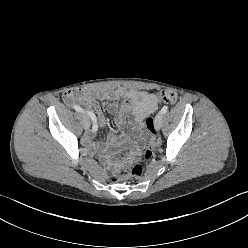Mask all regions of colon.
<instances>
[{
	"mask_svg": "<svg viewBox=\"0 0 248 248\" xmlns=\"http://www.w3.org/2000/svg\"><path fill=\"white\" fill-rule=\"evenodd\" d=\"M157 99L165 103L174 104L177 101V94L173 90L166 89L157 93ZM145 125L148 132L150 133V139L148 146L144 151V157L149 159L153 154L154 148L159 144V137L157 135V129L155 127V122L153 118H147ZM142 172H143L142 166L140 164H136L131 168V170L126 176L131 178H138L142 175ZM121 178L122 176H120L115 172L110 173V179L113 181H117Z\"/></svg>",
	"mask_w": 248,
	"mask_h": 248,
	"instance_id": "obj_1",
	"label": "colon"
}]
</instances>
